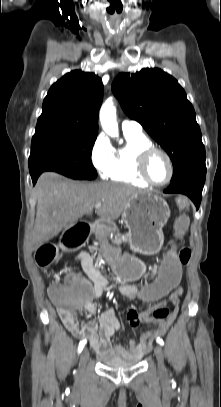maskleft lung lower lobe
I'll use <instances>...</instances> for the list:
<instances>
[{
	"mask_svg": "<svg viewBox=\"0 0 221 407\" xmlns=\"http://www.w3.org/2000/svg\"><path fill=\"white\" fill-rule=\"evenodd\" d=\"M205 162L191 166L177 178L171 180L170 186L164 190L165 193H181L187 195L199 208L202 189L205 182Z\"/></svg>",
	"mask_w": 221,
	"mask_h": 407,
	"instance_id": "obj_1",
	"label": "left lung lower lobe"
}]
</instances>
